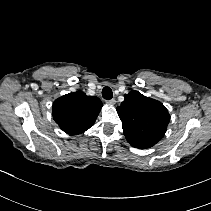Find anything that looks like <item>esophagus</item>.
Masks as SVG:
<instances>
[{
    "mask_svg": "<svg viewBox=\"0 0 211 211\" xmlns=\"http://www.w3.org/2000/svg\"><path fill=\"white\" fill-rule=\"evenodd\" d=\"M106 103L109 105H115L116 100L115 99L106 100Z\"/></svg>",
    "mask_w": 211,
    "mask_h": 211,
    "instance_id": "34e87169",
    "label": "esophagus"
}]
</instances>
